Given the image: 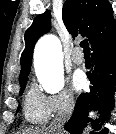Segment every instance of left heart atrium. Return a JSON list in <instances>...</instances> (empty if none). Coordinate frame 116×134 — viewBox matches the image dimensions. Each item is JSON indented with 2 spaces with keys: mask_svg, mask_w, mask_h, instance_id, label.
Masks as SVG:
<instances>
[{
  "mask_svg": "<svg viewBox=\"0 0 116 134\" xmlns=\"http://www.w3.org/2000/svg\"><path fill=\"white\" fill-rule=\"evenodd\" d=\"M86 84V79L83 73L77 71L72 77V85L75 90H81Z\"/></svg>",
  "mask_w": 116,
  "mask_h": 134,
  "instance_id": "1",
  "label": "left heart atrium"
}]
</instances>
